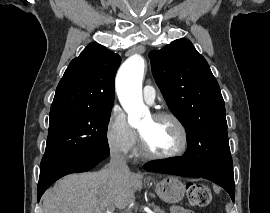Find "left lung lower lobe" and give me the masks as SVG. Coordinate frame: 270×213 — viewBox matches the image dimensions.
Masks as SVG:
<instances>
[{
  "mask_svg": "<svg viewBox=\"0 0 270 213\" xmlns=\"http://www.w3.org/2000/svg\"><path fill=\"white\" fill-rule=\"evenodd\" d=\"M147 171L167 173L180 176H201L223 187L235 199V183L233 167H216L205 170L198 163L194 151L188 143V150L181 158L169 159L162 163L150 164L145 167Z\"/></svg>",
  "mask_w": 270,
  "mask_h": 213,
  "instance_id": "obj_1",
  "label": "left lung lower lobe"
}]
</instances>
